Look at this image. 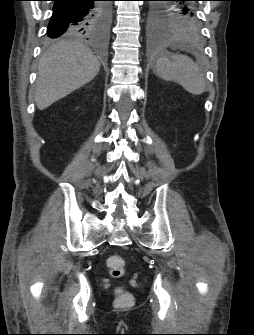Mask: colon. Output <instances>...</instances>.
<instances>
[{
    "mask_svg": "<svg viewBox=\"0 0 254 335\" xmlns=\"http://www.w3.org/2000/svg\"><path fill=\"white\" fill-rule=\"evenodd\" d=\"M107 267L113 278L119 279L125 274V261L119 255L109 256L107 259ZM115 302L118 306H130L133 304V297L129 292L123 290L122 288H117Z\"/></svg>",
    "mask_w": 254,
    "mask_h": 335,
    "instance_id": "1",
    "label": "colon"
}]
</instances>
